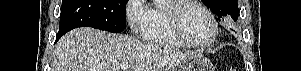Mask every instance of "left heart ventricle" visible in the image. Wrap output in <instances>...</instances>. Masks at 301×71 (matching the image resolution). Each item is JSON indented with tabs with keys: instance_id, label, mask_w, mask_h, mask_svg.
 <instances>
[{
	"instance_id": "b2bd125f",
	"label": "left heart ventricle",
	"mask_w": 301,
	"mask_h": 71,
	"mask_svg": "<svg viewBox=\"0 0 301 71\" xmlns=\"http://www.w3.org/2000/svg\"><path fill=\"white\" fill-rule=\"evenodd\" d=\"M183 25L190 40L196 43H206L213 35V25L204 13L196 6H190L183 12Z\"/></svg>"
}]
</instances>
